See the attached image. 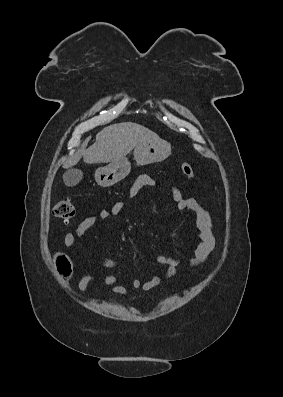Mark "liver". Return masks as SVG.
<instances>
[{
	"instance_id": "6515ba94",
	"label": "liver",
	"mask_w": 283,
	"mask_h": 397,
	"mask_svg": "<svg viewBox=\"0 0 283 397\" xmlns=\"http://www.w3.org/2000/svg\"><path fill=\"white\" fill-rule=\"evenodd\" d=\"M159 139L156 133L136 123L110 125L101 130L96 135V142L86 149L87 139L81 149L69 159L67 167L76 165L82 157L87 164L118 161L124 159L139 144Z\"/></svg>"
}]
</instances>
